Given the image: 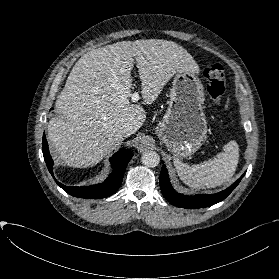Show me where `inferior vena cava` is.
Returning a JSON list of instances; mask_svg holds the SVG:
<instances>
[{"mask_svg": "<svg viewBox=\"0 0 279 279\" xmlns=\"http://www.w3.org/2000/svg\"><path fill=\"white\" fill-rule=\"evenodd\" d=\"M132 134V130H131V128H129V127H126V128H124L122 131H121V135L123 136V137H128V136H130Z\"/></svg>", "mask_w": 279, "mask_h": 279, "instance_id": "obj_1", "label": "inferior vena cava"}]
</instances>
